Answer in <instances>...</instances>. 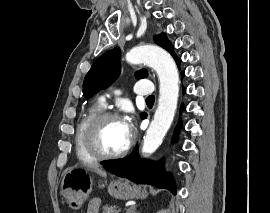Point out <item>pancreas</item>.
I'll list each match as a JSON object with an SVG mask.
<instances>
[{"mask_svg": "<svg viewBox=\"0 0 270 213\" xmlns=\"http://www.w3.org/2000/svg\"><path fill=\"white\" fill-rule=\"evenodd\" d=\"M102 213H118V212L114 207L105 205L102 208Z\"/></svg>", "mask_w": 270, "mask_h": 213, "instance_id": "obj_1", "label": "pancreas"}]
</instances>
